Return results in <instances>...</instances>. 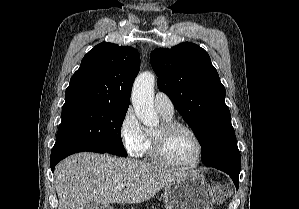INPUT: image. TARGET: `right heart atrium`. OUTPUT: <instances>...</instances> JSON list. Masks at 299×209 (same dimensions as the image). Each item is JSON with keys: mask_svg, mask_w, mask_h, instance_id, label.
Listing matches in <instances>:
<instances>
[{"mask_svg": "<svg viewBox=\"0 0 299 209\" xmlns=\"http://www.w3.org/2000/svg\"><path fill=\"white\" fill-rule=\"evenodd\" d=\"M119 134L123 146L132 157H140L146 144V133L134 110L129 107L120 122Z\"/></svg>", "mask_w": 299, "mask_h": 209, "instance_id": "right-heart-atrium-1", "label": "right heart atrium"}]
</instances>
